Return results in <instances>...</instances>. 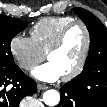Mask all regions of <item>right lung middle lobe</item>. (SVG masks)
I'll return each mask as SVG.
<instances>
[{
    "mask_svg": "<svg viewBox=\"0 0 107 107\" xmlns=\"http://www.w3.org/2000/svg\"><path fill=\"white\" fill-rule=\"evenodd\" d=\"M26 27L27 23L20 19L0 15V70L16 66L10 43L12 38Z\"/></svg>",
    "mask_w": 107,
    "mask_h": 107,
    "instance_id": "right-lung-middle-lobe-1",
    "label": "right lung middle lobe"
}]
</instances>
